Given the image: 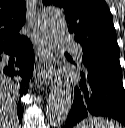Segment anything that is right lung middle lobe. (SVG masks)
<instances>
[{"label": "right lung middle lobe", "instance_id": "right-lung-middle-lobe-1", "mask_svg": "<svg viewBox=\"0 0 125 128\" xmlns=\"http://www.w3.org/2000/svg\"><path fill=\"white\" fill-rule=\"evenodd\" d=\"M0 74H3V73L0 71ZM7 79H9L12 84H14L13 79H10V78H7Z\"/></svg>", "mask_w": 125, "mask_h": 128}]
</instances>
